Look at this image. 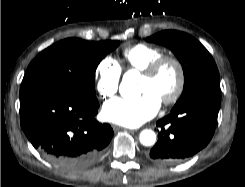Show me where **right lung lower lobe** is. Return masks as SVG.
<instances>
[{
	"label": "right lung lower lobe",
	"mask_w": 245,
	"mask_h": 187,
	"mask_svg": "<svg viewBox=\"0 0 245 187\" xmlns=\"http://www.w3.org/2000/svg\"><path fill=\"white\" fill-rule=\"evenodd\" d=\"M98 108V101L42 89L20 97V123L43 157L60 168L78 171L98 162L114 134L109 124L95 120Z\"/></svg>",
	"instance_id": "obj_1"
}]
</instances>
